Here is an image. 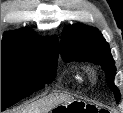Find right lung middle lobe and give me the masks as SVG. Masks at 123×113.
Wrapping results in <instances>:
<instances>
[{"label": "right lung middle lobe", "instance_id": "obj_1", "mask_svg": "<svg viewBox=\"0 0 123 113\" xmlns=\"http://www.w3.org/2000/svg\"><path fill=\"white\" fill-rule=\"evenodd\" d=\"M57 57L46 46H1V111L51 83Z\"/></svg>", "mask_w": 123, "mask_h": 113}]
</instances>
